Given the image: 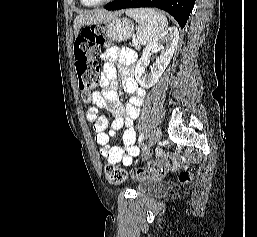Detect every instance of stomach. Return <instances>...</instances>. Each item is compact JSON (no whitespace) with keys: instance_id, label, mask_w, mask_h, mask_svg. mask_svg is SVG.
<instances>
[{"instance_id":"stomach-1","label":"stomach","mask_w":257,"mask_h":237,"mask_svg":"<svg viewBox=\"0 0 257 237\" xmlns=\"http://www.w3.org/2000/svg\"><path fill=\"white\" fill-rule=\"evenodd\" d=\"M134 32V23L127 18H115L107 22L102 28L105 38L115 42L128 40Z\"/></svg>"}]
</instances>
